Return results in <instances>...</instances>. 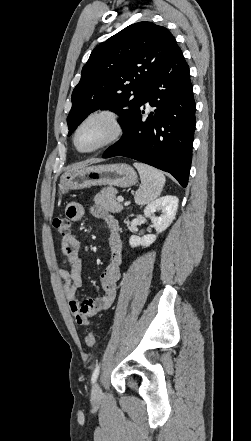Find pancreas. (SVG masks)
Here are the masks:
<instances>
[{"label": "pancreas", "instance_id": "cf45deb5", "mask_svg": "<svg viewBox=\"0 0 251 441\" xmlns=\"http://www.w3.org/2000/svg\"><path fill=\"white\" fill-rule=\"evenodd\" d=\"M116 193L117 191L111 187L103 188L101 192L94 197V202L106 211L120 213L123 206L116 199Z\"/></svg>", "mask_w": 251, "mask_h": 441}]
</instances>
